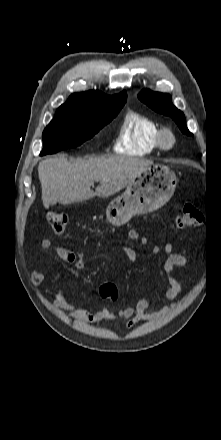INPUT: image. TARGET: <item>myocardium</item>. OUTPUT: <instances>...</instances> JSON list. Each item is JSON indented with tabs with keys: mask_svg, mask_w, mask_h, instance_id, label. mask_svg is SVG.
Wrapping results in <instances>:
<instances>
[{
	"mask_svg": "<svg viewBox=\"0 0 221 440\" xmlns=\"http://www.w3.org/2000/svg\"><path fill=\"white\" fill-rule=\"evenodd\" d=\"M176 135L175 133L168 128H162L159 132V144L160 147L164 150H170L174 148L176 144Z\"/></svg>",
	"mask_w": 221,
	"mask_h": 440,
	"instance_id": "myocardium-1",
	"label": "myocardium"
}]
</instances>
